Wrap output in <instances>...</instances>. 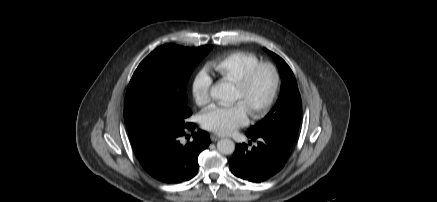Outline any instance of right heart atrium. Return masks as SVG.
<instances>
[{
	"mask_svg": "<svg viewBox=\"0 0 437 202\" xmlns=\"http://www.w3.org/2000/svg\"><path fill=\"white\" fill-rule=\"evenodd\" d=\"M212 83L213 79L205 68L197 71L191 84L192 96L197 105L204 106L210 102Z\"/></svg>",
	"mask_w": 437,
	"mask_h": 202,
	"instance_id": "right-heart-atrium-1",
	"label": "right heart atrium"
}]
</instances>
